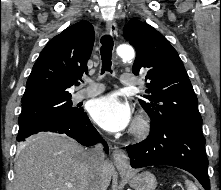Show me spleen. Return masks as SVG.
Instances as JSON below:
<instances>
[{
	"label": "spleen",
	"instance_id": "obj_1",
	"mask_svg": "<svg viewBox=\"0 0 221 190\" xmlns=\"http://www.w3.org/2000/svg\"><path fill=\"white\" fill-rule=\"evenodd\" d=\"M185 184L187 186V190H198L197 186L187 179H185Z\"/></svg>",
	"mask_w": 221,
	"mask_h": 190
}]
</instances>
